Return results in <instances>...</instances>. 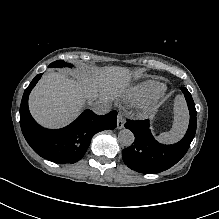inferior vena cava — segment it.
<instances>
[{
  "instance_id": "602c4592",
  "label": "inferior vena cava",
  "mask_w": 219,
  "mask_h": 219,
  "mask_svg": "<svg viewBox=\"0 0 219 219\" xmlns=\"http://www.w3.org/2000/svg\"><path fill=\"white\" fill-rule=\"evenodd\" d=\"M90 103V102H89ZM91 110L98 115H104L110 111L111 105L107 98H102L95 102L90 103Z\"/></svg>"
}]
</instances>
